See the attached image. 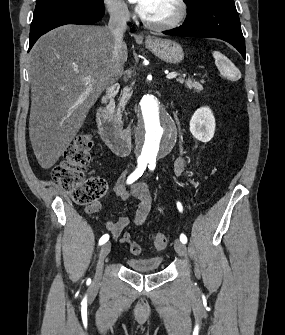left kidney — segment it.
<instances>
[{
  "label": "left kidney",
  "mask_w": 285,
  "mask_h": 335,
  "mask_svg": "<svg viewBox=\"0 0 285 335\" xmlns=\"http://www.w3.org/2000/svg\"><path fill=\"white\" fill-rule=\"evenodd\" d=\"M215 126L210 108H198L190 120V132L200 142H210L215 134Z\"/></svg>",
  "instance_id": "1"
}]
</instances>
